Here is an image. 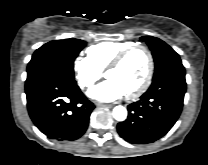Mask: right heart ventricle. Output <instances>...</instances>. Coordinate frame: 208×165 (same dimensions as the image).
<instances>
[{
    "mask_svg": "<svg viewBox=\"0 0 208 165\" xmlns=\"http://www.w3.org/2000/svg\"><path fill=\"white\" fill-rule=\"evenodd\" d=\"M131 41L108 40L96 43L87 48L88 58L94 65L103 70L114 57L125 48L133 45Z\"/></svg>",
    "mask_w": 208,
    "mask_h": 165,
    "instance_id": "obj_1",
    "label": "right heart ventricle"
}]
</instances>
